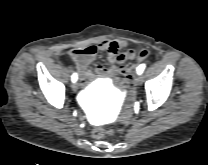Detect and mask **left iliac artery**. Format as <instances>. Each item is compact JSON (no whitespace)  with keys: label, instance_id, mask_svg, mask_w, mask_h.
<instances>
[{"label":"left iliac artery","instance_id":"1","mask_svg":"<svg viewBox=\"0 0 208 165\" xmlns=\"http://www.w3.org/2000/svg\"><path fill=\"white\" fill-rule=\"evenodd\" d=\"M146 65L145 64H141L138 68H137V73L141 74L144 69H145Z\"/></svg>","mask_w":208,"mask_h":165}]
</instances>
